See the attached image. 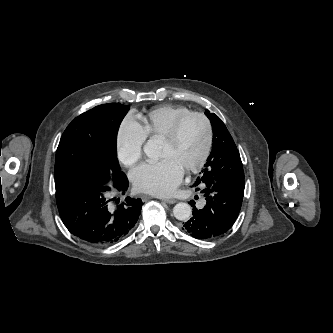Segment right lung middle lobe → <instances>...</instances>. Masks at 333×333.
<instances>
[{
  "mask_svg": "<svg viewBox=\"0 0 333 333\" xmlns=\"http://www.w3.org/2000/svg\"><path fill=\"white\" fill-rule=\"evenodd\" d=\"M129 107L108 103L76 117L64 131L55 162L56 190L75 180L102 175L111 183L114 172H121L116 140L119 126Z\"/></svg>",
  "mask_w": 333,
  "mask_h": 333,
  "instance_id": "1",
  "label": "right lung middle lobe"
}]
</instances>
